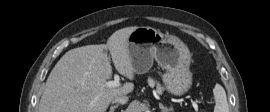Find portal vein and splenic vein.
Returning a JSON list of instances; mask_svg holds the SVG:
<instances>
[{
	"instance_id": "obj_1",
	"label": "portal vein and splenic vein",
	"mask_w": 270,
	"mask_h": 112,
	"mask_svg": "<svg viewBox=\"0 0 270 112\" xmlns=\"http://www.w3.org/2000/svg\"><path fill=\"white\" fill-rule=\"evenodd\" d=\"M108 87H119L120 86V78L117 74L114 75V80L108 81ZM192 106L194 107L195 111H198V105L195 101H192Z\"/></svg>"
}]
</instances>
